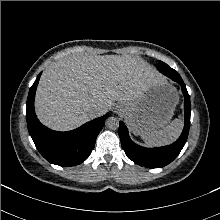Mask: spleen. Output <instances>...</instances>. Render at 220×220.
Returning <instances> with one entry per match:
<instances>
[{
    "mask_svg": "<svg viewBox=\"0 0 220 220\" xmlns=\"http://www.w3.org/2000/svg\"><path fill=\"white\" fill-rule=\"evenodd\" d=\"M182 128L183 121L181 119H175L163 129L141 134V138L148 146L166 145L179 137Z\"/></svg>",
    "mask_w": 220,
    "mask_h": 220,
    "instance_id": "obj_1",
    "label": "spleen"
}]
</instances>
